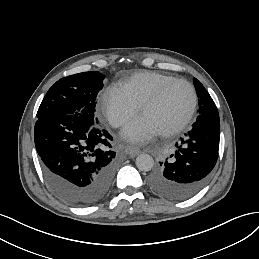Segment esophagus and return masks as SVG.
Here are the masks:
<instances>
[{
  "instance_id": "1",
  "label": "esophagus",
  "mask_w": 259,
  "mask_h": 259,
  "mask_svg": "<svg viewBox=\"0 0 259 259\" xmlns=\"http://www.w3.org/2000/svg\"><path fill=\"white\" fill-rule=\"evenodd\" d=\"M126 152L129 155L135 156V155H138L141 151L138 148H135V147H132V146H127Z\"/></svg>"
}]
</instances>
